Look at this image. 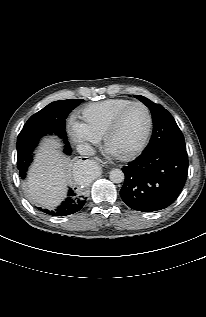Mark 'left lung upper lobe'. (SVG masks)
Here are the masks:
<instances>
[{
    "instance_id": "left-lung-upper-lobe-1",
    "label": "left lung upper lobe",
    "mask_w": 206,
    "mask_h": 317,
    "mask_svg": "<svg viewBox=\"0 0 206 317\" xmlns=\"http://www.w3.org/2000/svg\"><path fill=\"white\" fill-rule=\"evenodd\" d=\"M137 99L148 106L153 118V134L145 151L166 146L184 148L185 140L172 115L161 105L156 104L148 98L135 95Z\"/></svg>"
}]
</instances>
